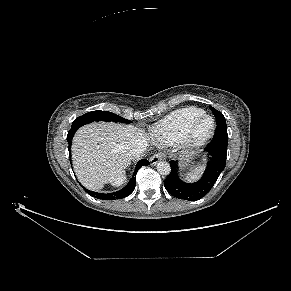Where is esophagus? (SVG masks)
Returning a JSON list of instances; mask_svg holds the SVG:
<instances>
[{"label":"esophagus","instance_id":"34e87169","mask_svg":"<svg viewBox=\"0 0 291 291\" xmlns=\"http://www.w3.org/2000/svg\"><path fill=\"white\" fill-rule=\"evenodd\" d=\"M164 158H165V154L162 152H159L150 158V163L152 165H155L157 162H159L160 160H163Z\"/></svg>","mask_w":291,"mask_h":291}]
</instances>
